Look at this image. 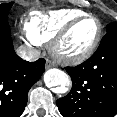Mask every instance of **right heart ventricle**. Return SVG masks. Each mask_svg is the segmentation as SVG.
<instances>
[{
	"label": "right heart ventricle",
	"instance_id": "1",
	"mask_svg": "<svg viewBox=\"0 0 117 117\" xmlns=\"http://www.w3.org/2000/svg\"><path fill=\"white\" fill-rule=\"evenodd\" d=\"M82 15L86 13L79 9L34 13L25 24L27 38L34 44L45 43L54 38L69 22Z\"/></svg>",
	"mask_w": 117,
	"mask_h": 117
}]
</instances>
